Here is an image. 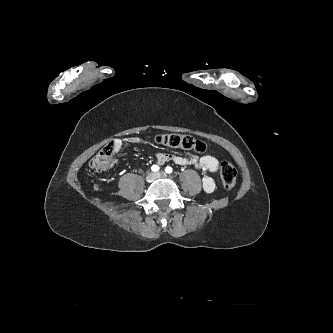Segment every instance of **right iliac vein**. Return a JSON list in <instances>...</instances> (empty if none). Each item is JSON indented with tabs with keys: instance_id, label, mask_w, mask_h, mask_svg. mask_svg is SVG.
<instances>
[{
	"instance_id": "1",
	"label": "right iliac vein",
	"mask_w": 333,
	"mask_h": 333,
	"mask_svg": "<svg viewBox=\"0 0 333 333\" xmlns=\"http://www.w3.org/2000/svg\"><path fill=\"white\" fill-rule=\"evenodd\" d=\"M155 178H156L155 173L150 172V173H148L147 176H146V181H147L148 183H151V182H153V181L155 180Z\"/></svg>"
}]
</instances>
